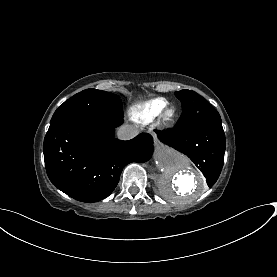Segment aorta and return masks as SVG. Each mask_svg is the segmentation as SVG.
<instances>
[{"mask_svg":"<svg viewBox=\"0 0 277 277\" xmlns=\"http://www.w3.org/2000/svg\"><path fill=\"white\" fill-rule=\"evenodd\" d=\"M155 159L161 171L159 189L168 201L186 204L206 191L202 173L184 155L164 145H157Z\"/></svg>","mask_w":277,"mask_h":277,"instance_id":"762f6f07","label":"aorta"}]
</instances>
